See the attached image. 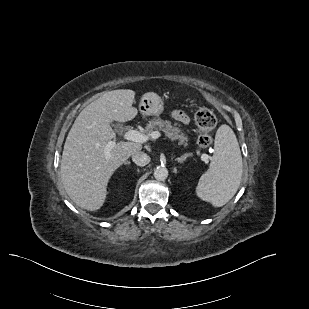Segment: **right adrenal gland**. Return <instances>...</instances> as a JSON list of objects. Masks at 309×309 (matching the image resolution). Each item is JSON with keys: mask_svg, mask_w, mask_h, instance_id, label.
Returning <instances> with one entry per match:
<instances>
[{"mask_svg": "<svg viewBox=\"0 0 309 309\" xmlns=\"http://www.w3.org/2000/svg\"><path fill=\"white\" fill-rule=\"evenodd\" d=\"M130 163H131L130 161H125L124 162L125 165H127V164L129 165Z\"/></svg>", "mask_w": 309, "mask_h": 309, "instance_id": "obj_1", "label": "right adrenal gland"}]
</instances>
